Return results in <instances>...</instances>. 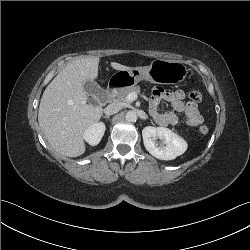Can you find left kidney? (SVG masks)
I'll return each instance as SVG.
<instances>
[{"mask_svg": "<svg viewBox=\"0 0 250 250\" xmlns=\"http://www.w3.org/2000/svg\"><path fill=\"white\" fill-rule=\"evenodd\" d=\"M142 137L146 150L160 160H173L187 149L186 141L165 127L147 126L142 130Z\"/></svg>", "mask_w": 250, "mask_h": 250, "instance_id": "1", "label": "left kidney"}]
</instances>
